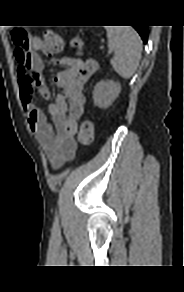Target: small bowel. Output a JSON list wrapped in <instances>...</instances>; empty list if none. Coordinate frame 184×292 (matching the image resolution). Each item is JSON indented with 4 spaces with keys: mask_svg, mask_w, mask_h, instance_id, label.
<instances>
[{
    "mask_svg": "<svg viewBox=\"0 0 184 292\" xmlns=\"http://www.w3.org/2000/svg\"><path fill=\"white\" fill-rule=\"evenodd\" d=\"M41 43L38 37L29 38L25 58L18 57L15 50L19 92L30 129L44 148L51 166L58 169L75 156L77 121L83 114L85 105L83 88L96 72L98 64L94 60L69 56L53 59L61 67L54 82L63 92L48 106L52 119L49 122L45 113L33 103L35 90L44 100L50 99L49 89L42 77L44 64L37 53L41 49Z\"/></svg>",
    "mask_w": 184,
    "mask_h": 292,
    "instance_id": "small-bowel-1",
    "label": "small bowel"
}]
</instances>
